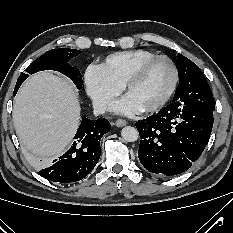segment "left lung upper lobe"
Here are the masks:
<instances>
[{
    "label": "left lung upper lobe",
    "mask_w": 233,
    "mask_h": 233,
    "mask_svg": "<svg viewBox=\"0 0 233 233\" xmlns=\"http://www.w3.org/2000/svg\"><path fill=\"white\" fill-rule=\"evenodd\" d=\"M179 84L173 102L195 108L214 110V98L200 68L185 56L178 54Z\"/></svg>",
    "instance_id": "left-lung-upper-lobe-1"
}]
</instances>
